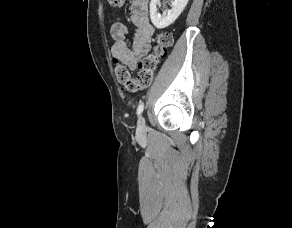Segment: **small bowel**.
<instances>
[{
	"label": "small bowel",
	"instance_id": "small-bowel-1",
	"mask_svg": "<svg viewBox=\"0 0 292 228\" xmlns=\"http://www.w3.org/2000/svg\"><path fill=\"white\" fill-rule=\"evenodd\" d=\"M131 28L121 20L115 21L111 26V37L114 44L111 54L114 63L125 67L128 71L137 67L138 60L146 55L151 48L154 27L149 20L148 0H131L130 4ZM133 32L131 46L127 43V36Z\"/></svg>",
	"mask_w": 292,
	"mask_h": 228
}]
</instances>
